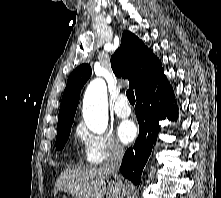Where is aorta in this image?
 <instances>
[{"instance_id": "aorta-1", "label": "aorta", "mask_w": 221, "mask_h": 198, "mask_svg": "<svg viewBox=\"0 0 221 198\" xmlns=\"http://www.w3.org/2000/svg\"><path fill=\"white\" fill-rule=\"evenodd\" d=\"M83 118L94 133L102 134L108 126L107 87L103 79L96 78L88 85L83 99Z\"/></svg>"}]
</instances>
